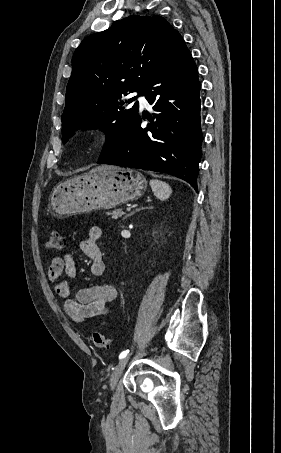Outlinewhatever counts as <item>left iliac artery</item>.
Returning <instances> with one entry per match:
<instances>
[{"label":"left iliac artery","mask_w":281,"mask_h":453,"mask_svg":"<svg viewBox=\"0 0 281 453\" xmlns=\"http://www.w3.org/2000/svg\"><path fill=\"white\" fill-rule=\"evenodd\" d=\"M129 353V350H126V351H123L120 355H119V359H123L127 356V354Z\"/></svg>","instance_id":"obj_1"}]
</instances>
